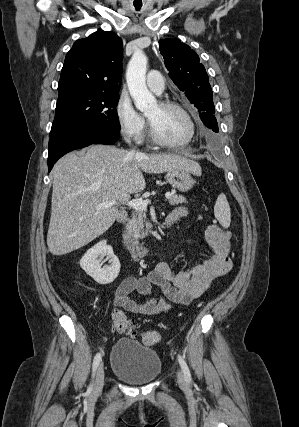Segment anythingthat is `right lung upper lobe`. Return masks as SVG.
I'll use <instances>...</instances> for the list:
<instances>
[{"label": "right lung upper lobe", "instance_id": "1", "mask_svg": "<svg viewBox=\"0 0 299 427\" xmlns=\"http://www.w3.org/2000/svg\"><path fill=\"white\" fill-rule=\"evenodd\" d=\"M122 58V40L113 32L77 40L61 70L58 100L84 92H119Z\"/></svg>", "mask_w": 299, "mask_h": 427}]
</instances>
